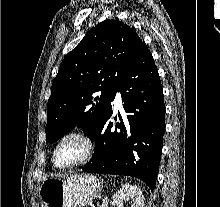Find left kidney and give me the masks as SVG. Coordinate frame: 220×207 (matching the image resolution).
<instances>
[{"label":"left kidney","mask_w":220,"mask_h":207,"mask_svg":"<svg viewBox=\"0 0 220 207\" xmlns=\"http://www.w3.org/2000/svg\"><path fill=\"white\" fill-rule=\"evenodd\" d=\"M131 202V207H144V197L140 188L137 186L125 184L113 196L112 205L124 207L126 202Z\"/></svg>","instance_id":"5707ae66"}]
</instances>
